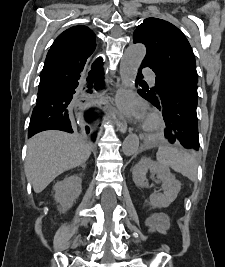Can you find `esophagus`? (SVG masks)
Wrapping results in <instances>:
<instances>
[{
	"instance_id": "1",
	"label": "esophagus",
	"mask_w": 225,
	"mask_h": 267,
	"mask_svg": "<svg viewBox=\"0 0 225 267\" xmlns=\"http://www.w3.org/2000/svg\"><path fill=\"white\" fill-rule=\"evenodd\" d=\"M123 90H124L123 84L118 83L116 85V99H115L114 107H113V115H114V118L116 120V124H117L118 129L121 132L125 133L128 129L127 122H126V119L124 118V116L122 115L121 111L119 110V107L117 104V97Z\"/></svg>"
}]
</instances>
